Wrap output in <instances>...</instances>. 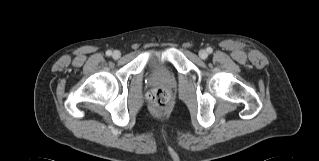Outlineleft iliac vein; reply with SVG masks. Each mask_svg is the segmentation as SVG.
Returning a JSON list of instances; mask_svg holds the SVG:
<instances>
[{
    "mask_svg": "<svg viewBox=\"0 0 319 161\" xmlns=\"http://www.w3.org/2000/svg\"><path fill=\"white\" fill-rule=\"evenodd\" d=\"M199 56L201 59H206L208 57V53L205 50H200Z\"/></svg>",
    "mask_w": 319,
    "mask_h": 161,
    "instance_id": "obj_1",
    "label": "left iliac vein"
}]
</instances>
